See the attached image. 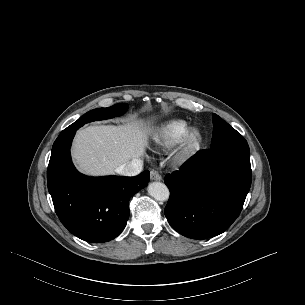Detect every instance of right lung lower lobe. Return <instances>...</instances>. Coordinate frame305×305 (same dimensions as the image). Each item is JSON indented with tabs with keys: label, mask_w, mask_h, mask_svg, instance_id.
I'll list each match as a JSON object with an SVG mask.
<instances>
[{
	"label": "right lung lower lobe",
	"mask_w": 305,
	"mask_h": 305,
	"mask_svg": "<svg viewBox=\"0 0 305 305\" xmlns=\"http://www.w3.org/2000/svg\"><path fill=\"white\" fill-rule=\"evenodd\" d=\"M78 126L55 140L47 170L48 190L62 224L78 238L103 243L117 237L129 218V200L149 182L135 177H87L74 167L70 147Z\"/></svg>",
	"instance_id": "1"
}]
</instances>
